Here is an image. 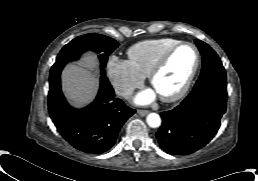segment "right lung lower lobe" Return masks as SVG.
<instances>
[{"label":"right lung lower lobe","mask_w":258,"mask_h":181,"mask_svg":"<svg viewBox=\"0 0 258 181\" xmlns=\"http://www.w3.org/2000/svg\"><path fill=\"white\" fill-rule=\"evenodd\" d=\"M65 66H52L49 78L48 109L62 137L74 148L93 154L110 150L117 135L135 110L115 98L105 74L101 75L99 93L89 106L74 109L66 102L60 86V74Z\"/></svg>","instance_id":"1"}]
</instances>
